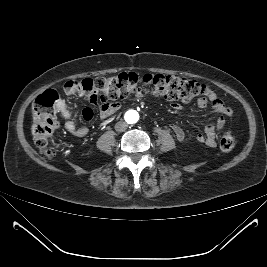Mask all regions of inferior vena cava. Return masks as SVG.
Wrapping results in <instances>:
<instances>
[{
    "label": "inferior vena cava",
    "instance_id": "1",
    "mask_svg": "<svg viewBox=\"0 0 267 267\" xmlns=\"http://www.w3.org/2000/svg\"><path fill=\"white\" fill-rule=\"evenodd\" d=\"M128 124L124 121H119L115 124V130L118 132H123L127 129Z\"/></svg>",
    "mask_w": 267,
    "mask_h": 267
}]
</instances>
